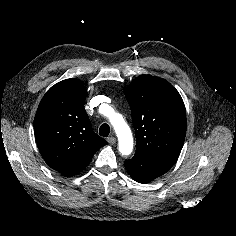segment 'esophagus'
Segmentation results:
<instances>
[{"label": "esophagus", "mask_w": 236, "mask_h": 236, "mask_svg": "<svg viewBox=\"0 0 236 236\" xmlns=\"http://www.w3.org/2000/svg\"><path fill=\"white\" fill-rule=\"evenodd\" d=\"M107 141H108V143H109L110 145H114L115 142H116V138L113 137V136H111V137H109V138L107 139Z\"/></svg>", "instance_id": "obj_1"}]
</instances>
